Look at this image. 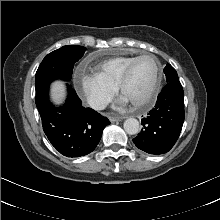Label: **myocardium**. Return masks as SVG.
Masks as SVG:
<instances>
[{
	"instance_id": "myocardium-1",
	"label": "myocardium",
	"mask_w": 220,
	"mask_h": 220,
	"mask_svg": "<svg viewBox=\"0 0 220 220\" xmlns=\"http://www.w3.org/2000/svg\"><path fill=\"white\" fill-rule=\"evenodd\" d=\"M146 57H151L155 62V67H156L155 77L147 94L138 101L130 102L135 107H142L148 104L153 99L154 95L156 94L159 88L161 77H162V67H161V63L159 59L152 53H145V54H141L137 56L127 65L118 83L119 93L123 95L124 89L130 79L134 66L136 65L138 61Z\"/></svg>"
}]
</instances>
